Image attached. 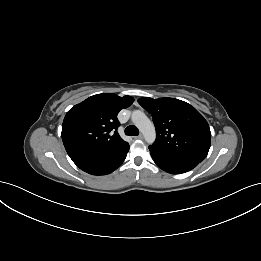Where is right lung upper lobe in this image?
I'll return each instance as SVG.
<instances>
[{
  "instance_id": "cb5924a9",
  "label": "right lung upper lobe",
  "mask_w": 261,
  "mask_h": 261,
  "mask_svg": "<svg viewBox=\"0 0 261 261\" xmlns=\"http://www.w3.org/2000/svg\"><path fill=\"white\" fill-rule=\"evenodd\" d=\"M131 96L93 95L73 106L62 125V140L69 156L88 151H116L128 146L118 134L117 114L133 103Z\"/></svg>"
}]
</instances>
